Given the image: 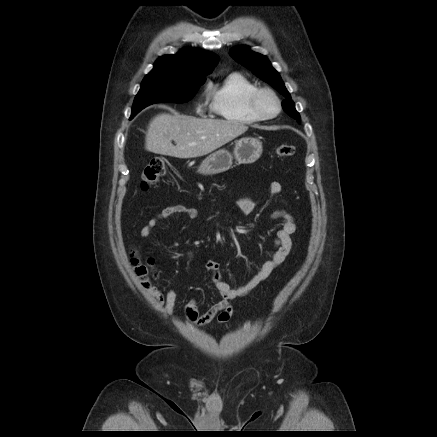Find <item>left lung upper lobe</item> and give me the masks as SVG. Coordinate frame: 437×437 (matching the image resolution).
Instances as JSON below:
<instances>
[{
  "label": "left lung upper lobe",
  "mask_w": 437,
  "mask_h": 437,
  "mask_svg": "<svg viewBox=\"0 0 437 437\" xmlns=\"http://www.w3.org/2000/svg\"><path fill=\"white\" fill-rule=\"evenodd\" d=\"M230 56L246 68L251 70L256 76L273 86L286 99L282 102L284 111L300 123V115L295 109V104L291 99L279 73L272 67L269 60L259 53L250 51L247 46L235 47L230 50Z\"/></svg>",
  "instance_id": "left-lung-upper-lobe-1"
}]
</instances>
